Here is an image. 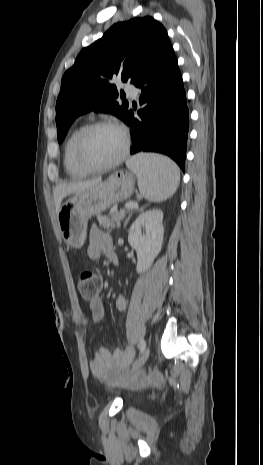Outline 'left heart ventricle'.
Wrapping results in <instances>:
<instances>
[{
  "instance_id": "b2bd125f",
  "label": "left heart ventricle",
  "mask_w": 263,
  "mask_h": 465,
  "mask_svg": "<svg viewBox=\"0 0 263 465\" xmlns=\"http://www.w3.org/2000/svg\"><path fill=\"white\" fill-rule=\"evenodd\" d=\"M123 140L114 128H98L90 132L85 140L84 154L93 164H106L121 152Z\"/></svg>"
}]
</instances>
